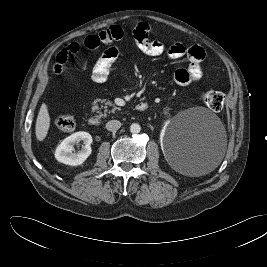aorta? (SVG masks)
Segmentation results:
<instances>
[{"mask_svg": "<svg viewBox=\"0 0 267 267\" xmlns=\"http://www.w3.org/2000/svg\"><path fill=\"white\" fill-rule=\"evenodd\" d=\"M141 130V127L139 124L137 123H133L131 126H130V132L133 133V134H137L139 133Z\"/></svg>", "mask_w": 267, "mask_h": 267, "instance_id": "1", "label": "aorta"}]
</instances>
